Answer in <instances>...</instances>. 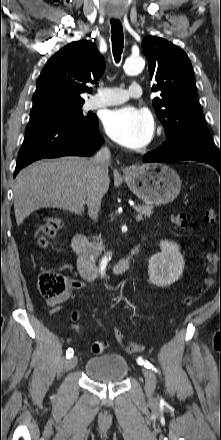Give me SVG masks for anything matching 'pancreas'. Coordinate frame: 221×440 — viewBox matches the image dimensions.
<instances>
[{
	"instance_id": "pancreas-1",
	"label": "pancreas",
	"mask_w": 221,
	"mask_h": 440,
	"mask_svg": "<svg viewBox=\"0 0 221 440\" xmlns=\"http://www.w3.org/2000/svg\"><path fill=\"white\" fill-rule=\"evenodd\" d=\"M135 210L143 217H150L153 214V207L151 205H138L134 207ZM99 240V239H98ZM100 252V243L93 242L89 245L87 254L90 257L96 258Z\"/></svg>"
}]
</instances>
